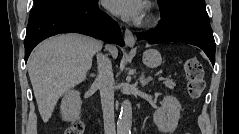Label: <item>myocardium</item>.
<instances>
[{
	"label": "myocardium",
	"mask_w": 239,
	"mask_h": 134,
	"mask_svg": "<svg viewBox=\"0 0 239 134\" xmlns=\"http://www.w3.org/2000/svg\"><path fill=\"white\" fill-rule=\"evenodd\" d=\"M153 21V16H149L147 19V22H152Z\"/></svg>",
	"instance_id": "f54148a6"
}]
</instances>
